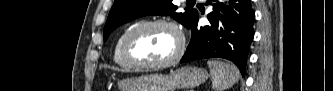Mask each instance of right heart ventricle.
<instances>
[{"label": "right heart ventricle", "mask_w": 333, "mask_h": 91, "mask_svg": "<svg viewBox=\"0 0 333 91\" xmlns=\"http://www.w3.org/2000/svg\"><path fill=\"white\" fill-rule=\"evenodd\" d=\"M130 28L131 27H128L120 33V35L118 36V38L115 42V45H114L113 60L116 63V65H118L119 67H121L123 69L135 68L134 66H132L131 64H129L127 62V60L125 59L124 54H123V41H124L125 35L130 30Z\"/></svg>", "instance_id": "right-heart-ventricle-1"}]
</instances>
